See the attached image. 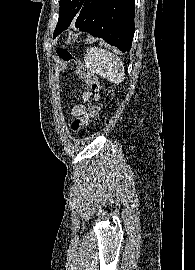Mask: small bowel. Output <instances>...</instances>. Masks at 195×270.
Masks as SVG:
<instances>
[{"label":"small bowel","mask_w":195,"mask_h":270,"mask_svg":"<svg viewBox=\"0 0 195 270\" xmlns=\"http://www.w3.org/2000/svg\"><path fill=\"white\" fill-rule=\"evenodd\" d=\"M87 97H88V95L85 96V98H87ZM84 112H85V107L80 105V106H76L73 108L72 115L79 116V115L84 114Z\"/></svg>","instance_id":"1"}]
</instances>
